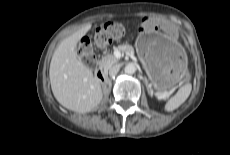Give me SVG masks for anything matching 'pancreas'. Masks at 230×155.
Listing matches in <instances>:
<instances>
[{"mask_svg": "<svg viewBox=\"0 0 230 155\" xmlns=\"http://www.w3.org/2000/svg\"><path fill=\"white\" fill-rule=\"evenodd\" d=\"M118 49L122 52H126L128 54H133L134 50L131 46L120 45ZM118 59L113 54H107L102 57L99 61L100 66L105 70H109L114 64L118 63Z\"/></svg>", "mask_w": 230, "mask_h": 155, "instance_id": "pancreas-1", "label": "pancreas"}]
</instances>
